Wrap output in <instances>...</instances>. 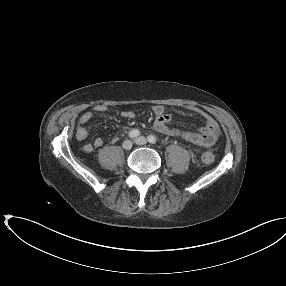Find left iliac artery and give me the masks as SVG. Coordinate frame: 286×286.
Returning a JSON list of instances; mask_svg holds the SVG:
<instances>
[{
  "label": "left iliac artery",
  "instance_id": "44dca946",
  "mask_svg": "<svg viewBox=\"0 0 286 286\" xmlns=\"http://www.w3.org/2000/svg\"><path fill=\"white\" fill-rule=\"evenodd\" d=\"M148 141L151 143V144H155L157 142V139L154 135H150L148 136Z\"/></svg>",
  "mask_w": 286,
  "mask_h": 286
}]
</instances>
